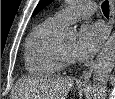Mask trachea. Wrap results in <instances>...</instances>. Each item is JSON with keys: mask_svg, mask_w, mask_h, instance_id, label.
Listing matches in <instances>:
<instances>
[{"mask_svg": "<svg viewBox=\"0 0 115 99\" xmlns=\"http://www.w3.org/2000/svg\"><path fill=\"white\" fill-rule=\"evenodd\" d=\"M102 11L106 17H109V2L108 1H104L102 3Z\"/></svg>", "mask_w": 115, "mask_h": 99, "instance_id": "3493384b", "label": "trachea"}]
</instances>
